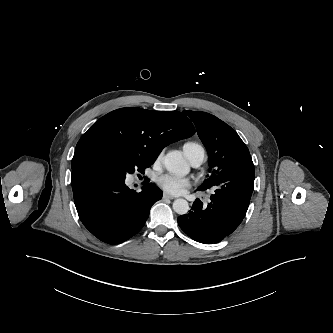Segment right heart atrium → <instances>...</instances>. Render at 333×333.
<instances>
[{
	"label": "right heart atrium",
	"instance_id": "obj_1",
	"mask_svg": "<svg viewBox=\"0 0 333 333\" xmlns=\"http://www.w3.org/2000/svg\"><path fill=\"white\" fill-rule=\"evenodd\" d=\"M161 159V154L158 156L157 161H160Z\"/></svg>",
	"mask_w": 333,
	"mask_h": 333
}]
</instances>
